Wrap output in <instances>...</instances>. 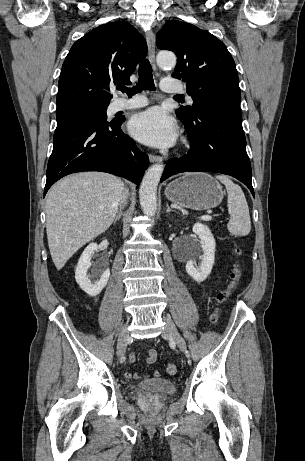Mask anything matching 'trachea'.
<instances>
[{"mask_svg":"<svg viewBox=\"0 0 305 461\" xmlns=\"http://www.w3.org/2000/svg\"><path fill=\"white\" fill-rule=\"evenodd\" d=\"M123 93L125 92L129 97L136 93H140L143 90H155L154 82H153V75H152V67L148 60H144L139 65V80L136 86L133 88H127L125 86H121L118 88ZM178 100H183L184 98L180 95L175 96Z\"/></svg>","mask_w":305,"mask_h":461,"instance_id":"trachea-1","label":"trachea"}]
</instances>
